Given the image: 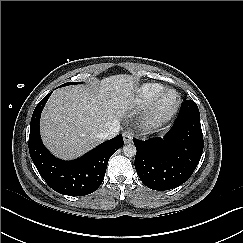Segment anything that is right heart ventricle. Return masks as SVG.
<instances>
[{
	"mask_svg": "<svg viewBox=\"0 0 243 243\" xmlns=\"http://www.w3.org/2000/svg\"><path fill=\"white\" fill-rule=\"evenodd\" d=\"M165 87L160 83L148 82L137 86L130 95L129 103L134 110L149 107Z\"/></svg>",
	"mask_w": 243,
	"mask_h": 243,
	"instance_id": "obj_1",
	"label": "right heart ventricle"
}]
</instances>
